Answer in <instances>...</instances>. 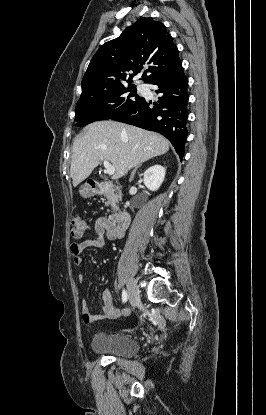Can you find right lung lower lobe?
Segmentation results:
<instances>
[{"label": "right lung lower lobe", "mask_w": 266, "mask_h": 415, "mask_svg": "<svg viewBox=\"0 0 266 415\" xmlns=\"http://www.w3.org/2000/svg\"><path fill=\"white\" fill-rule=\"evenodd\" d=\"M157 85L158 104L144 98L136 106L122 112L111 119L156 131L165 136L173 145L180 159L184 155L187 138L188 118V79L182 65L174 71L162 75L151 82Z\"/></svg>", "instance_id": "obj_1"}]
</instances>
